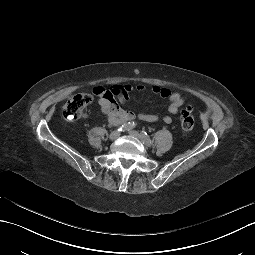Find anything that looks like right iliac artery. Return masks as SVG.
I'll use <instances>...</instances> for the list:
<instances>
[{"label": "right iliac artery", "mask_w": 255, "mask_h": 255, "mask_svg": "<svg viewBox=\"0 0 255 255\" xmlns=\"http://www.w3.org/2000/svg\"><path fill=\"white\" fill-rule=\"evenodd\" d=\"M135 122H128V123H125L123 125H121L119 128H118V131H128L132 128L135 127Z\"/></svg>", "instance_id": "1"}]
</instances>
